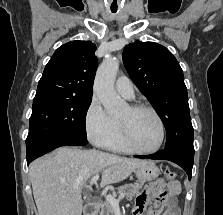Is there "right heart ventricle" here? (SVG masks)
Instances as JSON below:
<instances>
[{
    "instance_id": "1",
    "label": "right heart ventricle",
    "mask_w": 223,
    "mask_h": 215,
    "mask_svg": "<svg viewBox=\"0 0 223 215\" xmlns=\"http://www.w3.org/2000/svg\"><path fill=\"white\" fill-rule=\"evenodd\" d=\"M103 147L109 151L119 152V153H129L130 151L124 145L120 138L119 127L115 132L103 143Z\"/></svg>"
}]
</instances>
